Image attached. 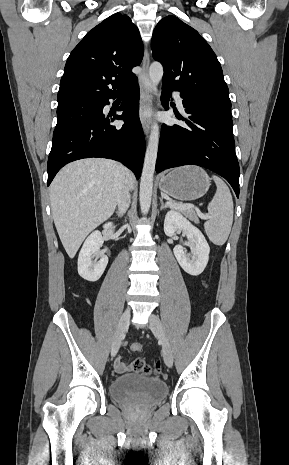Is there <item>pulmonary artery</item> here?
Here are the masks:
<instances>
[{"instance_id":"pulmonary-artery-1","label":"pulmonary artery","mask_w":289,"mask_h":465,"mask_svg":"<svg viewBox=\"0 0 289 465\" xmlns=\"http://www.w3.org/2000/svg\"><path fill=\"white\" fill-rule=\"evenodd\" d=\"M174 96H175L176 103H177L179 109L184 110L183 101H182V98L180 96V93L179 92H174Z\"/></svg>"}]
</instances>
